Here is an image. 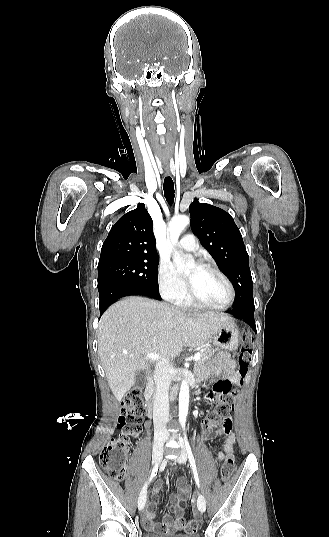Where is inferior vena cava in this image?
<instances>
[{
	"label": "inferior vena cava",
	"mask_w": 329,
	"mask_h": 537,
	"mask_svg": "<svg viewBox=\"0 0 329 537\" xmlns=\"http://www.w3.org/2000/svg\"><path fill=\"white\" fill-rule=\"evenodd\" d=\"M171 365L169 359L163 357L155 365L154 380L156 391L153 404V422L156 433L166 432V425L169 421V397L168 391L171 383Z\"/></svg>",
	"instance_id": "1"
}]
</instances>
